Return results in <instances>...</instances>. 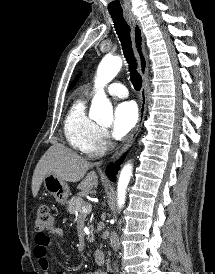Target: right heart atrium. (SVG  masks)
I'll return each mask as SVG.
<instances>
[{"label":"right heart atrium","instance_id":"1","mask_svg":"<svg viewBox=\"0 0 215 274\" xmlns=\"http://www.w3.org/2000/svg\"><path fill=\"white\" fill-rule=\"evenodd\" d=\"M110 135L105 128L98 127L92 136L87 153L93 156L101 155L111 147Z\"/></svg>","mask_w":215,"mask_h":274}]
</instances>
